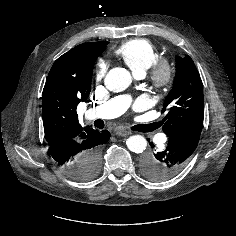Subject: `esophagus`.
Wrapping results in <instances>:
<instances>
[{
	"label": "esophagus",
	"mask_w": 236,
	"mask_h": 236,
	"mask_svg": "<svg viewBox=\"0 0 236 236\" xmlns=\"http://www.w3.org/2000/svg\"><path fill=\"white\" fill-rule=\"evenodd\" d=\"M130 134H131L130 131L124 130V129H120V130H117V131H116V135L122 136V137L128 136V135H130Z\"/></svg>",
	"instance_id": "esophagus-1"
}]
</instances>
